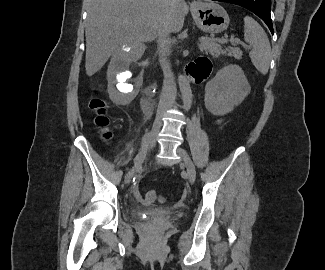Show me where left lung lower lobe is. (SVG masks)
I'll use <instances>...</instances> for the list:
<instances>
[{
  "mask_svg": "<svg viewBox=\"0 0 325 270\" xmlns=\"http://www.w3.org/2000/svg\"><path fill=\"white\" fill-rule=\"evenodd\" d=\"M221 2L240 5L260 17L269 27L273 34V25L271 20V0H215Z\"/></svg>",
  "mask_w": 325,
  "mask_h": 270,
  "instance_id": "1",
  "label": "left lung lower lobe"
}]
</instances>
